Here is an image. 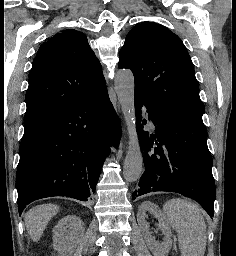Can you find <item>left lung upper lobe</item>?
Returning a JSON list of instances; mask_svg holds the SVG:
<instances>
[{
	"mask_svg": "<svg viewBox=\"0 0 236 256\" xmlns=\"http://www.w3.org/2000/svg\"><path fill=\"white\" fill-rule=\"evenodd\" d=\"M135 78V96L203 122L204 105L192 61L179 37L154 22L137 24L119 53Z\"/></svg>",
	"mask_w": 236,
	"mask_h": 256,
	"instance_id": "5c2ea615",
	"label": "left lung upper lobe"
}]
</instances>
